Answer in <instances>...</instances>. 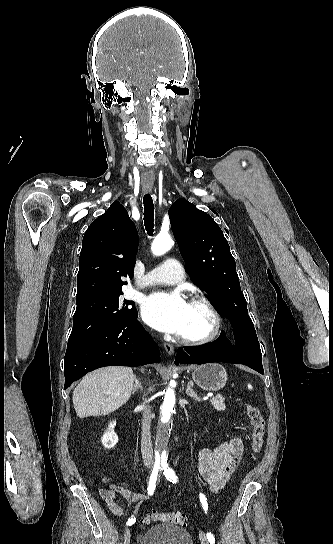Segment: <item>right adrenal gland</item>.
<instances>
[{
  "label": "right adrenal gland",
  "mask_w": 333,
  "mask_h": 544,
  "mask_svg": "<svg viewBox=\"0 0 333 544\" xmlns=\"http://www.w3.org/2000/svg\"><path fill=\"white\" fill-rule=\"evenodd\" d=\"M134 381H135V385L133 387V390H132V394H135L136 390L137 389H140L142 390L143 387L141 385V382L139 381V379L136 377V375H134Z\"/></svg>",
  "instance_id": "1"
}]
</instances>
